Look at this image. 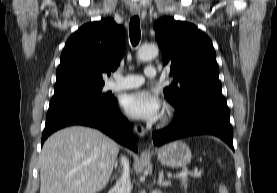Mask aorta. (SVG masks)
<instances>
[{
  "label": "aorta",
  "mask_w": 277,
  "mask_h": 193,
  "mask_svg": "<svg viewBox=\"0 0 277 193\" xmlns=\"http://www.w3.org/2000/svg\"><path fill=\"white\" fill-rule=\"evenodd\" d=\"M158 47L156 45H143L137 52V59L139 61H150L157 57Z\"/></svg>",
  "instance_id": "aorta-1"
}]
</instances>
